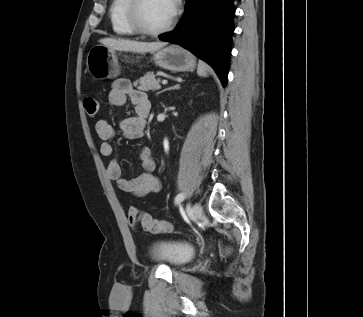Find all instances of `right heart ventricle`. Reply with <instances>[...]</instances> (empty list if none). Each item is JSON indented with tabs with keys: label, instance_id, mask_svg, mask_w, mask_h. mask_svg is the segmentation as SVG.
Instances as JSON below:
<instances>
[{
	"label": "right heart ventricle",
	"instance_id": "e07e8e85",
	"mask_svg": "<svg viewBox=\"0 0 363 317\" xmlns=\"http://www.w3.org/2000/svg\"><path fill=\"white\" fill-rule=\"evenodd\" d=\"M129 0H112L109 8V18L112 30L120 36H133L135 32L126 21V6Z\"/></svg>",
	"mask_w": 363,
	"mask_h": 317
}]
</instances>
